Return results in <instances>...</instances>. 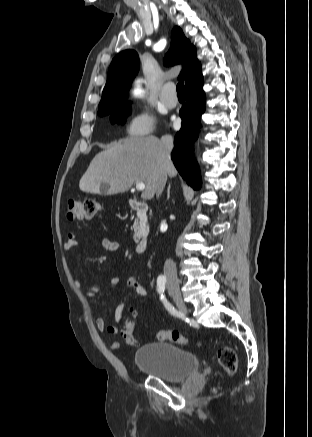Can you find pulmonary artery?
Segmentation results:
<instances>
[{
  "label": "pulmonary artery",
  "instance_id": "e3ab8cb5",
  "mask_svg": "<svg viewBox=\"0 0 312 437\" xmlns=\"http://www.w3.org/2000/svg\"><path fill=\"white\" fill-rule=\"evenodd\" d=\"M159 97L161 102L169 108L175 107L178 101L177 95L173 91L171 83H167L166 85L163 86V88L160 91Z\"/></svg>",
  "mask_w": 312,
  "mask_h": 437
}]
</instances>
